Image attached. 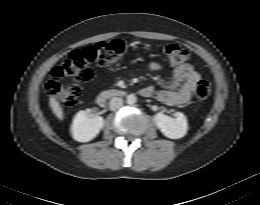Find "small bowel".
I'll return each instance as SVG.
<instances>
[{
    "instance_id": "obj_1",
    "label": "small bowel",
    "mask_w": 260,
    "mask_h": 205,
    "mask_svg": "<svg viewBox=\"0 0 260 205\" xmlns=\"http://www.w3.org/2000/svg\"><path fill=\"white\" fill-rule=\"evenodd\" d=\"M149 69L157 72L162 70V65L158 62H151ZM200 79L199 73L195 71L191 64L182 63L174 68L167 88L156 91L153 87L148 86L142 88L140 93L144 97L154 96L164 104L183 105L190 101L192 91Z\"/></svg>"
}]
</instances>
